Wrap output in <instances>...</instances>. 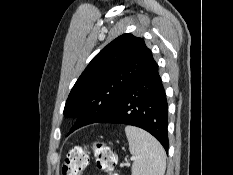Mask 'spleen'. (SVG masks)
<instances>
[{
	"label": "spleen",
	"instance_id": "1",
	"mask_svg": "<svg viewBox=\"0 0 233 175\" xmlns=\"http://www.w3.org/2000/svg\"><path fill=\"white\" fill-rule=\"evenodd\" d=\"M129 151L134 156L132 175H164L166 155L161 144L148 132L126 126Z\"/></svg>",
	"mask_w": 233,
	"mask_h": 175
}]
</instances>
